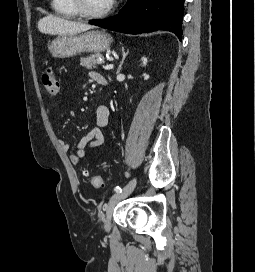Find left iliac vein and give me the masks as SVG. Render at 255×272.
Returning <instances> with one entry per match:
<instances>
[{
    "instance_id": "left-iliac-vein-1",
    "label": "left iliac vein",
    "mask_w": 255,
    "mask_h": 272,
    "mask_svg": "<svg viewBox=\"0 0 255 272\" xmlns=\"http://www.w3.org/2000/svg\"><path fill=\"white\" fill-rule=\"evenodd\" d=\"M136 186V178H133L132 180H130V182L123 188L122 192H115L108 203L107 209H106V217H105V229L106 230H110L111 228V217H112V213H113V209L115 207V205L122 199H124L125 197H127L129 194L132 193V191L134 190Z\"/></svg>"
}]
</instances>
